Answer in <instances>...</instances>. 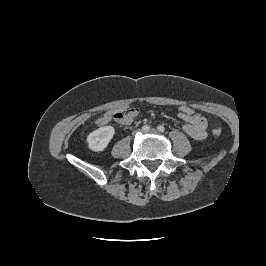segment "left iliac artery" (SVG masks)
I'll list each match as a JSON object with an SVG mask.
<instances>
[{
  "instance_id": "1",
  "label": "left iliac artery",
  "mask_w": 266,
  "mask_h": 266,
  "mask_svg": "<svg viewBox=\"0 0 266 266\" xmlns=\"http://www.w3.org/2000/svg\"><path fill=\"white\" fill-rule=\"evenodd\" d=\"M157 129H158L159 132H164V131H165V128H164V126H162V125H159V126L157 127Z\"/></svg>"
}]
</instances>
